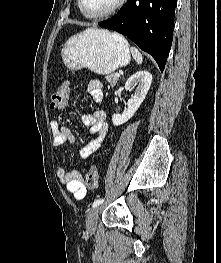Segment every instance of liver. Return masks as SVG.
Instances as JSON below:
<instances>
[{"instance_id":"liver-1","label":"liver","mask_w":221,"mask_h":263,"mask_svg":"<svg viewBox=\"0 0 221 263\" xmlns=\"http://www.w3.org/2000/svg\"><path fill=\"white\" fill-rule=\"evenodd\" d=\"M87 30H89V31H90V30H93V29H91V28H90V29H87Z\"/></svg>"}]
</instances>
